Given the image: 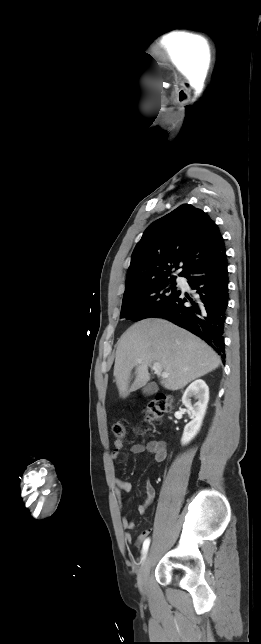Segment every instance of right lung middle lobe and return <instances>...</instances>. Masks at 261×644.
Returning <instances> with one entry per match:
<instances>
[{
    "label": "right lung middle lobe",
    "mask_w": 261,
    "mask_h": 644,
    "mask_svg": "<svg viewBox=\"0 0 261 644\" xmlns=\"http://www.w3.org/2000/svg\"><path fill=\"white\" fill-rule=\"evenodd\" d=\"M175 279L176 277L163 279L125 289L120 317L132 321L154 317L180 295Z\"/></svg>",
    "instance_id": "dd1d6c3e"
}]
</instances>
